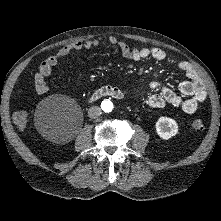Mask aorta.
<instances>
[{
	"label": "aorta",
	"instance_id": "762f6f07",
	"mask_svg": "<svg viewBox=\"0 0 221 221\" xmlns=\"http://www.w3.org/2000/svg\"><path fill=\"white\" fill-rule=\"evenodd\" d=\"M112 108H113L112 103H109V102H108V103L106 104V108H105V110L109 112V111L112 110Z\"/></svg>",
	"mask_w": 221,
	"mask_h": 221
}]
</instances>
